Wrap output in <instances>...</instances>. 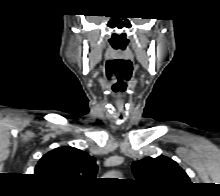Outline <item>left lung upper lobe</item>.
Segmentation results:
<instances>
[{"label":"left lung upper lobe","mask_w":220,"mask_h":196,"mask_svg":"<svg viewBox=\"0 0 220 196\" xmlns=\"http://www.w3.org/2000/svg\"><path fill=\"white\" fill-rule=\"evenodd\" d=\"M132 171L141 183L164 190H178L190 184L188 175L172 159L147 157L132 164Z\"/></svg>","instance_id":"5c2ea615"}]
</instances>
